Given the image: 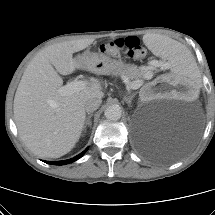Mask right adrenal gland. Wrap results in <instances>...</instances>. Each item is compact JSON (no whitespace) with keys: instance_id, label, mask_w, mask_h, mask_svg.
Wrapping results in <instances>:
<instances>
[{"instance_id":"obj_1","label":"right adrenal gland","mask_w":215,"mask_h":215,"mask_svg":"<svg viewBox=\"0 0 215 215\" xmlns=\"http://www.w3.org/2000/svg\"><path fill=\"white\" fill-rule=\"evenodd\" d=\"M92 113H89L87 118H86V121H85V125H84V129H86L87 126H91L92 125V122H91V117H92Z\"/></svg>"}]
</instances>
